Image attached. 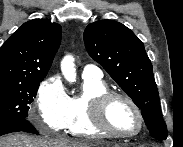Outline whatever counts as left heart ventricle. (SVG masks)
I'll use <instances>...</instances> for the list:
<instances>
[{
  "label": "left heart ventricle",
  "mask_w": 183,
  "mask_h": 147,
  "mask_svg": "<svg viewBox=\"0 0 183 147\" xmlns=\"http://www.w3.org/2000/svg\"><path fill=\"white\" fill-rule=\"evenodd\" d=\"M110 125L121 133H135L139 120L133 108L123 99H114L107 108Z\"/></svg>",
  "instance_id": "left-heart-ventricle-1"
}]
</instances>
